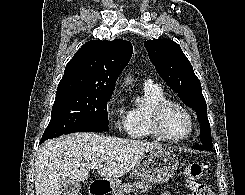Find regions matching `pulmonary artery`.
<instances>
[{"label":"pulmonary artery","mask_w":245,"mask_h":195,"mask_svg":"<svg viewBox=\"0 0 245 195\" xmlns=\"http://www.w3.org/2000/svg\"><path fill=\"white\" fill-rule=\"evenodd\" d=\"M143 85H144V87L158 86V85L154 84L151 80H146Z\"/></svg>","instance_id":"e3ab8cb5"}]
</instances>
